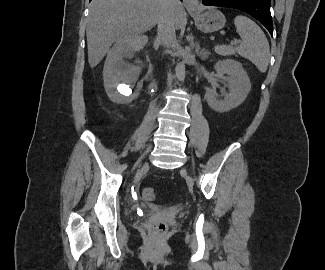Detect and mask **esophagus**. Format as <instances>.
I'll list each match as a JSON object with an SVG mask.
<instances>
[{
  "mask_svg": "<svg viewBox=\"0 0 325 270\" xmlns=\"http://www.w3.org/2000/svg\"><path fill=\"white\" fill-rule=\"evenodd\" d=\"M187 10H194L199 6L198 0H183Z\"/></svg>",
  "mask_w": 325,
  "mask_h": 270,
  "instance_id": "1",
  "label": "esophagus"
}]
</instances>
